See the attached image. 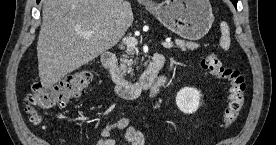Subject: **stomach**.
I'll return each instance as SVG.
<instances>
[{
	"mask_svg": "<svg viewBox=\"0 0 276 145\" xmlns=\"http://www.w3.org/2000/svg\"><path fill=\"white\" fill-rule=\"evenodd\" d=\"M165 27L188 40H199L210 30L213 12L209 0H165L148 7Z\"/></svg>",
	"mask_w": 276,
	"mask_h": 145,
	"instance_id": "obj_1",
	"label": "stomach"
}]
</instances>
